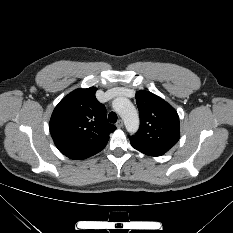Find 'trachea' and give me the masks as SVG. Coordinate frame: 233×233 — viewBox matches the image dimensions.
<instances>
[{"mask_svg": "<svg viewBox=\"0 0 233 233\" xmlns=\"http://www.w3.org/2000/svg\"><path fill=\"white\" fill-rule=\"evenodd\" d=\"M117 114L115 112H110L108 115V119L110 123H116L117 121Z\"/></svg>", "mask_w": 233, "mask_h": 233, "instance_id": "3493384b", "label": "trachea"}]
</instances>
